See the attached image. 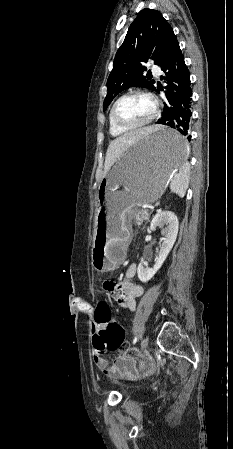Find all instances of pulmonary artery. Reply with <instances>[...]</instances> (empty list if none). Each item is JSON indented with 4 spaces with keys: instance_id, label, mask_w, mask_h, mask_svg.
<instances>
[{
    "instance_id": "obj_1",
    "label": "pulmonary artery",
    "mask_w": 233,
    "mask_h": 449,
    "mask_svg": "<svg viewBox=\"0 0 233 449\" xmlns=\"http://www.w3.org/2000/svg\"><path fill=\"white\" fill-rule=\"evenodd\" d=\"M152 71H153L156 75H159L160 72H161V71H160V68L157 67V66H153Z\"/></svg>"
}]
</instances>
